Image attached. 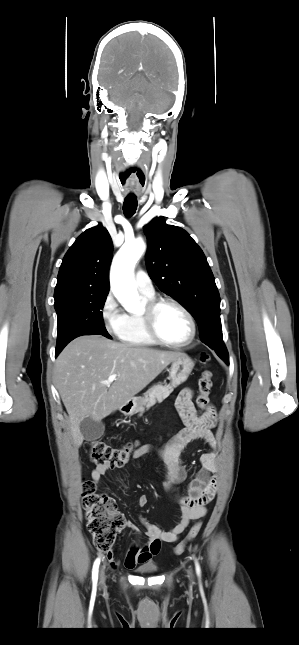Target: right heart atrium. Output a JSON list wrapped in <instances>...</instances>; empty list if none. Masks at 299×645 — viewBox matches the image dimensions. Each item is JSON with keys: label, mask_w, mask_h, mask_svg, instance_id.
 <instances>
[{"label": "right heart atrium", "mask_w": 299, "mask_h": 645, "mask_svg": "<svg viewBox=\"0 0 299 645\" xmlns=\"http://www.w3.org/2000/svg\"><path fill=\"white\" fill-rule=\"evenodd\" d=\"M100 315L105 330L111 335L118 336L124 323V313L111 292L107 293L102 302Z\"/></svg>", "instance_id": "right-heart-atrium-1"}]
</instances>
